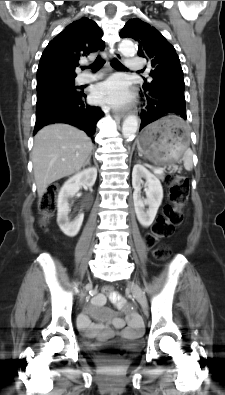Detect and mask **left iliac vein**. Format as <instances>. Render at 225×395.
I'll use <instances>...</instances> for the list:
<instances>
[{"instance_id":"1","label":"left iliac vein","mask_w":225,"mask_h":395,"mask_svg":"<svg viewBox=\"0 0 225 395\" xmlns=\"http://www.w3.org/2000/svg\"><path fill=\"white\" fill-rule=\"evenodd\" d=\"M128 287L131 290V292L133 293V295L136 297L137 301L140 303L143 310L146 311L148 308V304H147L146 296H145L144 292L142 291V289L134 282H130L128 284Z\"/></svg>"}]
</instances>
